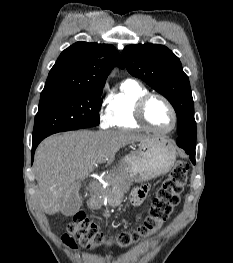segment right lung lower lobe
I'll list each match as a JSON object with an SVG mask.
<instances>
[{
	"mask_svg": "<svg viewBox=\"0 0 233 263\" xmlns=\"http://www.w3.org/2000/svg\"><path fill=\"white\" fill-rule=\"evenodd\" d=\"M42 140H43V139H39V140L33 141V145H32V161H33V158H34L35 149L37 148L38 144H39Z\"/></svg>",
	"mask_w": 233,
	"mask_h": 263,
	"instance_id": "98d812e1",
	"label": "right lung lower lobe"
}]
</instances>
